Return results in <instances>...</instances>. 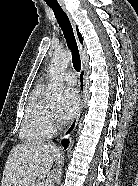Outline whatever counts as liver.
I'll return each mask as SVG.
<instances>
[{
  "mask_svg": "<svg viewBox=\"0 0 138 186\" xmlns=\"http://www.w3.org/2000/svg\"><path fill=\"white\" fill-rule=\"evenodd\" d=\"M61 151L54 145L29 142L16 145L8 155L1 186H33L36 178L50 174Z\"/></svg>",
  "mask_w": 138,
  "mask_h": 186,
  "instance_id": "6515ba94",
  "label": "liver"
}]
</instances>
